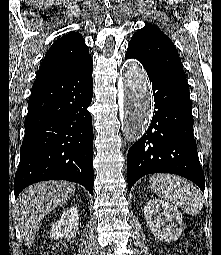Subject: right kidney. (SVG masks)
Here are the masks:
<instances>
[{"label":"right kidney","mask_w":221,"mask_h":255,"mask_svg":"<svg viewBox=\"0 0 221 255\" xmlns=\"http://www.w3.org/2000/svg\"><path fill=\"white\" fill-rule=\"evenodd\" d=\"M79 227V214L76 207H71L63 212L61 218L54 223L51 237L54 239H70L75 236Z\"/></svg>","instance_id":"ca27d5eb"}]
</instances>
